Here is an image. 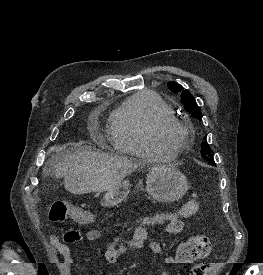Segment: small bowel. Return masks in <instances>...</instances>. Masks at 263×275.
Masks as SVG:
<instances>
[{
    "mask_svg": "<svg viewBox=\"0 0 263 275\" xmlns=\"http://www.w3.org/2000/svg\"><path fill=\"white\" fill-rule=\"evenodd\" d=\"M183 228V221L180 219H172L168 221L166 225V232L169 234H178L183 230ZM101 235L102 233L98 229L89 230L85 234H82L76 230H69L63 234L62 240L57 235L50 234L49 242L62 257V266L68 268L73 263L71 249L68 244L84 241H96L101 237ZM145 246H148L149 250L154 254L164 255L161 244L155 240L150 239L146 225L141 224L134 230L131 238H119L110 243L104 252V258L107 263L114 264L117 263L120 258L128 251L133 249H142ZM174 263H176L175 258L164 255L163 263L159 266L161 275H168L165 266Z\"/></svg>",
    "mask_w": 263,
    "mask_h": 275,
    "instance_id": "obj_1",
    "label": "small bowel"
}]
</instances>
